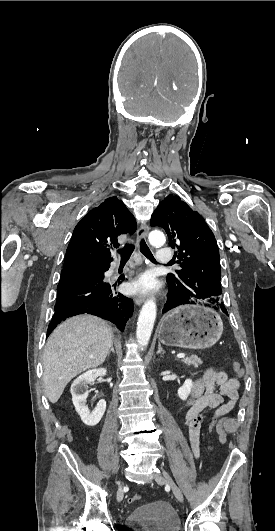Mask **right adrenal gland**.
<instances>
[{
	"instance_id": "right-adrenal-gland-1",
	"label": "right adrenal gland",
	"mask_w": 275,
	"mask_h": 531,
	"mask_svg": "<svg viewBox=\"0 0 275 531\" xmlns=\"http://www.w3.org/2000/svg\"><path fill=\"white\" fill-rule=\"evenodd\" d=\"M110 353H115V351H114V347H113V343H112V345H111V349H110V351H108V353H107L108 357H110Z\"/></svg>"
}]
</instances>
